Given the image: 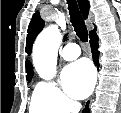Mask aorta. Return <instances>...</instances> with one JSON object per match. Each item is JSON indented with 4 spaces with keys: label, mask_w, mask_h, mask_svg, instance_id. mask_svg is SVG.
<instances>
[{
    "label": "aorta",
    "mask_w": 121,
    "mask_h": 113,
    "mask_svg": "<svg viewBox=\"0 0 121 113\" xmlns=\"http://www.w3.org/2000/svg\"><path fill=\"white\" fill-rule=\"evenodd\" d=\"M61 42V33L57 25L45 28L33 45V64L38 75L50 80L56 75L57 53Z\"/></svg>",
    "instance_id": "aorta-1"
}]
</instances>
